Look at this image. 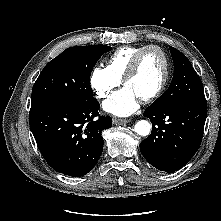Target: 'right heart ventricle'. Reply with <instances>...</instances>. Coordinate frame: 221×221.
<instances>
[{"mask_svg":"<svg viewBox=\"0 0 221 221\" xmlns=\"http://www.w3.org/2000/svg\"><path fill=\"white\" fill-rule=\"evenodd\" d=\"M144 47L146 46H124L117 49L109 58L107 68L115 77L121 80L134 55Z\"/></svg>","mask_w":221,"mask_h":221,"instance_id":"right-heart-ventricle-1","label":"right heart ventricle"}]
</instances>
